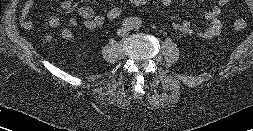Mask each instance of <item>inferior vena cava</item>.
Here are the masks:
<instances>
[{
	"label": "inferior vena cava",
	"instance_id": "602c4592",
	"mask_svg": "<svg viewBox=\"0 0 253 131\" xmlns=\"http://www.w3.org/2000/svg\"><path fill=\"white\" fill-rule=\"evenodd\" d=\"M127 33V31L125 30V32L121 33V36H124Z\"/></svg>",
	"mask_w": 253,
	"mask_h": 131
}]
</instances>
